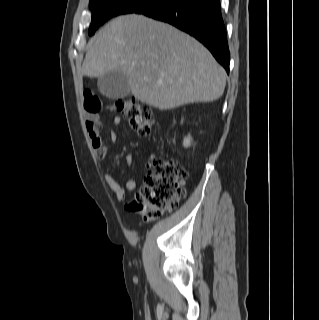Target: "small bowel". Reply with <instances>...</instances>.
Here are the masks:
<instances>
[{
    "label": "small bowel",
    "mask_w": 319,
    "mask_h": 320,
    "mask_svg": "<svg viewBox=\"0 0 319 320\" xmlns=\"http://www.w3.org/2000/svg\"><path fill=\"white\" fill-rule=\"evenodd\" d=\"M84 98V108L86 114V129L88 131L89 138L99 159H105L107 157L108 148L104 144L100 132L102 130V122L100 120V107L101 103L97 97H95L91 91L85 90L83 93ZM121 118L119 116H114L113 124L116 126L121 125ZM110 138L112 141L117 140L116 132L112 131L110 133ZM133 162V155L128 154L126 157L127 165H131ZM105 182L109 188L113 191L118 199H123L126 192H130L136 189L137 181L135 179H129L125 186L121 185L114 176L109 173L104 175Z\"/></svg>",
    "instance_id": "small-bowel-1"
}]
</instances>
